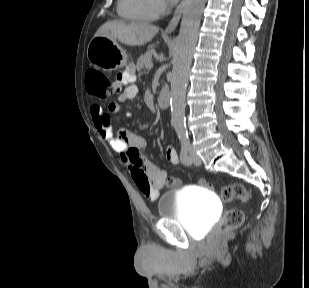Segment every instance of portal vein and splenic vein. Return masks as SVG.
Instances as JSON below:
<instances>
[{
	"instance_id": "portal-vein-and-splenic-vein-1",
	"label": "portal vein and splenic vein",
	"mask_w": 309,
	"mask_h": 288,
	"mask_svg": "<svg viewBox=\"0 0 309 288\" xmlns=\"http://www.w3.org/2000/svg\"><path fill=\"white\" fill-rule=\"evenodd\" d=\"M152 67H153V63L151 62V63L148 64L147 68L150 69Z\"/></svg>"
}]
</instances>
